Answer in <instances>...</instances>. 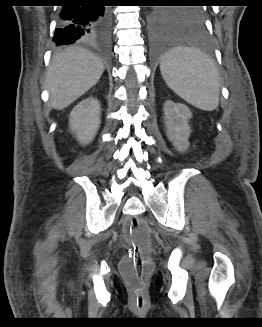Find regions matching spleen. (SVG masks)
I'll return each instance as SVG.
<instances>
[{
    "mask_svg": "<svg viewBox=\"0 0 262 327\" xmlns=\"http://www.w3.org/2000/svg\"><path fill=\"white\" fill-rule=\"evenodd\" d=\"M166 84L182 99L206 111L218 107L220 80L215 63L197 49L178 47L160 62Z\"/></svg>",
    "mask_w": 262,
    "mask_h": 327,
    "instance_id": "3e777b00",
    "label": "spleen"
}]
</instances>
